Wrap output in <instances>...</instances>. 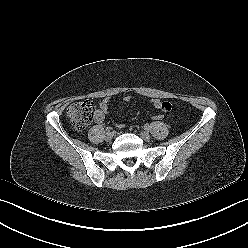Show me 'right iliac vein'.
Instances as JSON below:
<instances>
[{"label":"right iliac vein","mask_w":248,"mask_h":248,"mask_svg":"<svg viewBox=\"0 0 248 248\" xmlns=\"http://www.w3.org/2000/svg\"><path fill=\"white\" fill-rule=\"evenodd\" d=\"M112 138H113V133L112 132H107L106 135H105V139L107 141H110V140H112Z\"/></svg>","instance_id":"obj_1"}]
</instances>
